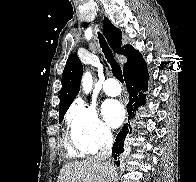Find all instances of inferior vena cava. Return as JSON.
<instances>
[{
	"label": "inferior vena cava",
	"mask_w": 196,
	"mask_h": 182,
	"mask_svg": "<svg viewBox=\"0 0 196 182\" xmlns=\"http://www.w3.org/2000/svg\"><path fill=\"white\" fill-rule=\"evenodd\" d=\"M112 144H113V137L111 132L104 131L101 135L100 151L95 158L106 161V164H109L107 160L109 159L112 153Z\"/></svg>",
	"instance_id": "602c4592"
}]
</instances>
